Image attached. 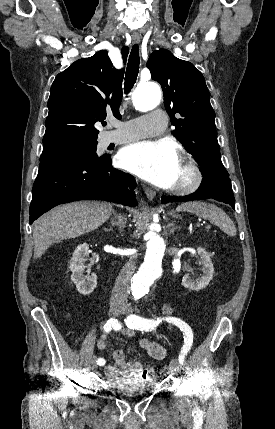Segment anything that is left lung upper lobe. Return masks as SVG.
<instances>
[{"instance_id":"left-lung-upper-lobe-1","label":"left lung upper lobe","mask_w":275,"mask_h":429,"mask_svg":"<svg viewBox=\"0 0 275 429\" xmlns=\"http://www.w3.org/2000/svg\"><path fill=\"white\" fill-rule=\"evenodd\" d=\"M147 67L152 79L162 86L164 105L175 126L174 137L199 162L203 175L229 176L221 161L215 112L202 73L166 49L154 51Z\"/></svg>"}]
</instances>
